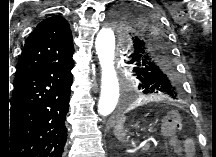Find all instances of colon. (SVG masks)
I'll list each match as a JSON object with an SVG mask.
<instances>
[{
    "label": "colon",
    "mask_w": 216,
    "mask_h": 157,
    "mask_svg": "<svg viewBox=\"0 0 216 157\" xmlns=\"http://www.w3.org/2000/svg\"><path fill=\"white\" fill-rule=\"evenodd\" d=\"M162 126L166 133L173 134L182 126L181 116L176 111H171L163 119Z\"/></svg>",
    "instance_id": "5ec220e1"
}]
</instances>
